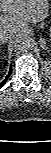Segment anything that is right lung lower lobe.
<instances>
[{"mask_svg":"<svg viewBox=\"0 0 51 153\" xmlns=\"http://www.w3.org/2000/svg\"><path fill=\"white\" fill-rule=\"evenodd\" d=\"M11 70H12V68H10L9 73H8V75L6 76V78H5L2 82H0V87L3 86L4 83L7 81V79L9 78V76H10V74H11V72H12Z\"/></svg>","mask_w":51,"mask_h":153,"instance_id":"98d812e1","label":"right lung lower lobe"}]
</instances>
